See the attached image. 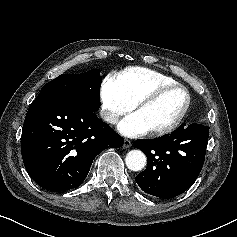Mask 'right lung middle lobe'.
<instances>
[{"instance_id":"1","label":"right lung middle lobe","mask_w":237,"mask_h":237,"mask_svg":"<svg viewBox=\"0 0 237 237\" xmlns=\"http://www.w3.org/2000/svg\"><path fill=\"white\" fill-rule=\"evenodd\" d=\"M101 82L99 69H92L77 75L62 74L45 84L39 94L67 97L83 107L97 111L100 108Z\"/></svg>"}]
</instances>
